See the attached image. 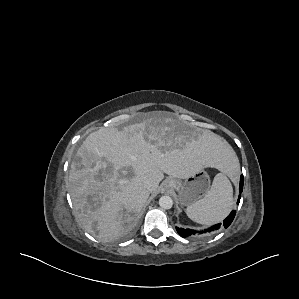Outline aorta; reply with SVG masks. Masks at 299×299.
<instances>
[{
	"mask_svg": "<svg viewBox=\"0 0 299 299\" xmlns=\"http://www.w3.org/2000/svg\"><path fill=\"white\" fill-rule=\"evenodd\" d=\"M159 205L163 209H170L173 206V200L170 196L164 195L159 199Z\"/></svg>",
	"mask_w": 299,
	"mask_h": 299,
	"instance_id": "762f6f07",
	"label": "aorta"
}]
</instances>
